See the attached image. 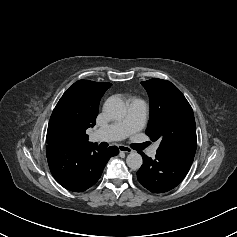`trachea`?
<instances>
[{"mask_svg": "<svg viewBox=\"0 0 237 237\" xmlns=\"http://www.w3.org/2000/svg\"><path fill=\"white\" fill-rule=\"evenodd\" d=\"M150 143L149 142H147L146 144H145V146H148Z\"/></svg>", "mask_w": 237, "mask_h": 237, "instance_id": "obj_1", "label": "trachea"}]
</instances>
